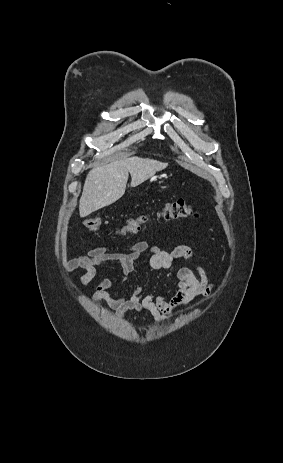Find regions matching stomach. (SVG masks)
Instances as JSON below:
<instances>
[{
    "instance_id": "0dacf381",
    "label": "stomach",
    "mask_w": 283,
    "mask_h": 463,
    "mask_svg": "<svg viewBox=\"0 0 283 463\" xmlns=\"http://www.w3.org/2000/svg\"><path fill=\"white\" fill-rule=\"evenodd\" d=\"M161 189H162V190H164V189H165V187H161Z\"/></svg>"
}]
</instances>
